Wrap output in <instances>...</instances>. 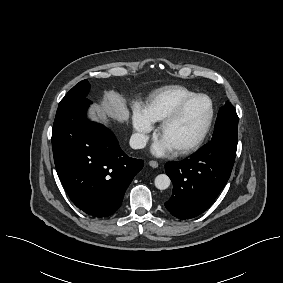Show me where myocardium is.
Segmentation results:
<instances>
[{"mask_svg":"<svg viewBox=\"0 0 283 283\" xmlns=\"http://www.w3.org/2000/svg\"><path fill=\"white\" fill-rule=\"evenodd\" d=\"M199 98H206L209 100L210 102V106H211V110H210V115L208 118V121L203 129V131L201 132V134L199 135V137L194 140L192 143L179 147L177 149L174 150V152L177 155H186V154H190L195 152L196 150H198L201 145L204 143L206 137L208 136L211 127L213 125L214 122V118H215V104L214 101L212 100V98L210 96H208L207 94H203V93H198V94H194L188 98H186L185 100H183L176 108L175 110L169 114L165 119L162 120L159 129H158V135L160 136L161 134H163L173 123H175L183 114V112L185 111V109L195 100L199 99Z\"/></svg>","mask_w":283,"mask_h":283,"instance_id":"1","label":"myocardium"}]
</instances>
